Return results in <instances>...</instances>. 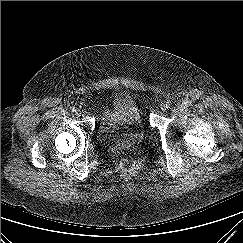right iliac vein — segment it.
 Masks as SVG:
<instances>
[{
	"label": "right iliac vein",
	"mask_w": 243,
	"mask_h": 243,
	"mask_svg": "<svg viewBox=\"0 0 243 243\" xmlns=\"http://www.w3.org/2000/svg\"><path fill=\"white\" fill-rule=\"evenodd\" d=\"M77 115L79 116V117H81V116H83L84 115V111L83 110H78L77 112Z\"/></svg>",
	"instance_id": "obj_1"
}]
</instances>
